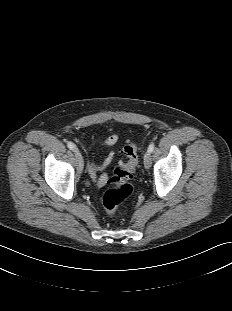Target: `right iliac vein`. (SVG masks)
Here are the masks:
<instances>
[{
  "label": "right iliac vein",
  "instance_id": "63e3f726",
  "mask_svg": "<svg viewBox=\"0 0 232 311\" xmlns=\"http://www.w3.org/2000/svg\"><path fill=\"white\" fill-rule=\"evenodd\" d=\"M75 156H76V160H77V164H78V171L82 172L83 167H84V160H83L82 155L80 154V152L77 149L75 150Z\"/></svg>",
  "mask_w": 232,
  "mask_h": 311
}]
</instances>
